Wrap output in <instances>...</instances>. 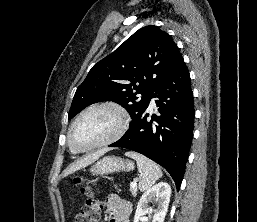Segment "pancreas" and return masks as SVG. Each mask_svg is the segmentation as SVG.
Segmentation results:
<instances>
[{
  "mask_svg": "<svg viewBox=\"0 0 257 222\" xmlns=\"http://www.w3.org/2000/svg\"><path fill=\"white\" fill-rule=\"evenodd\" d=\"M130 191L132 192V195H133V196H136V194H137V187H135V188H130Z\"/></svg>",
  "mask_w": 257,
  "mask_h": 222,
  "instance_id": "cf45deb5",
  "label": "pancreas"
}]
</instances>
